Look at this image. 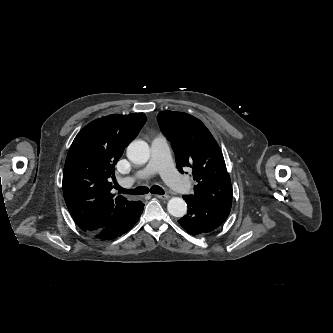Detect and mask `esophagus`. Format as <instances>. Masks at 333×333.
<instances>
[{"mask_svg":"<svg viewBox=\"0 0 333 333\" xmlns=\"http://www.w3.org/2000/svg\"><path fill=\"white\" fill-rule=\"evenodd\" d=\"M156 198H159V199H162V200H167V199H169V195H167V194H164V195H160V194H155L154 195Z\"/></svg>","mask_w":333,"mask_h":333,"instance_id":"1","label":"esophagus"}]
</instances>
